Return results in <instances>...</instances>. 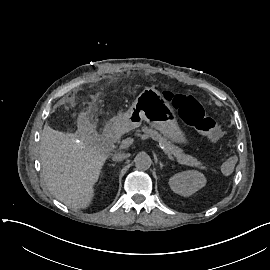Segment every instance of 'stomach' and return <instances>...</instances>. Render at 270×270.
<instances>
[{
    "label": "stomach",
    "mask_w": 270,
    "mask_h": 270,
    "mask_svg": "<svg viewBox=\"0 0 270 270\" xmlns=\"http://www.w3.org/2000/svg\"><path fill=\"white\" fill-rule=\"evenodd\" d=\"M119 119L121 129L131 130L145 121L167 141L182 146L190 144L188 136L178 123V116L171 102L162 98L154 87L144 88Z\"/></svg>",
    "instance_id": "obj_1"
}]
</instances>
